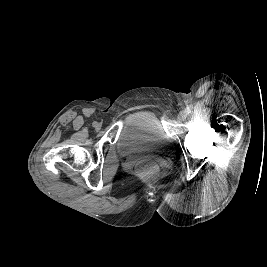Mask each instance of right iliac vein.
<instances>
[{
    "label": "right iliac vein",
    "instance_id": "right-iliac-vein-1",
    "mask_svg": "<svg viewBox=\"0 0 267 267\" xmlns=\"http://www.w3.org/2000/svg\"><path fill=\"white\" fill-rule=\"evenodd\" d=\"M95 129H96V130H100V124H99V123H96V125H95Z\"/></svg>",
    "mask_w": 267,
    "mask_h": 267
}]
</instances>
